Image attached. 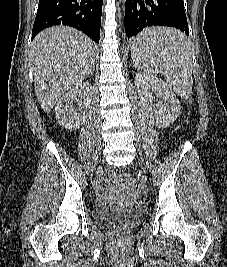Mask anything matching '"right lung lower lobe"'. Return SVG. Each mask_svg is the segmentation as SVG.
Instances as JSON below:
<instances>
[{"label":"right lung lower lobe","mask_w":227,"mask_h":267,"mask_svg":"<svg viewBox=\"0 0 227 267\" xmlns=\"http://www.w3.org/2000/svg\"><path fill=\"white\" fill-rule=\"evenodd\" d=\"M102 3L103 0H39L32 39L43 29L62 24L99 43Z\"/></svg>","instance_id":"98d812e1"}]
</instances>
